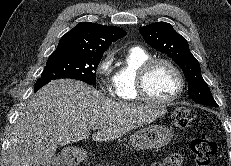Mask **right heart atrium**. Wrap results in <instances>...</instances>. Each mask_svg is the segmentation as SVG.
Masks as SVG:
<instances>
[{
    "instance_id": "d8ad5b80",
    "label": "right heart atrium",
    "mask_w": 231,
    "mask_h": 166,
    "mask_svg": "<svg viewBox=\"0 0 231 166\" xmlns=\"http://www.w3.org/2000/svg\"><path fill=\"white\" fill-rule=\"evenodd\" d=\"M113 54L108 52L99 62L96 75L102 91L112 93L115 91V74L112 71Z\"/></svg>"
}]
</instances>
